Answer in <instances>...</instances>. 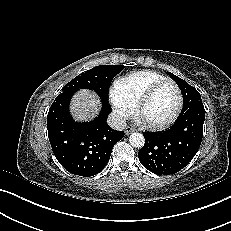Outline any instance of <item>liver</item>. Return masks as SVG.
I'll list each match as a JSON object with an SVG mask.
<instances>
[{"label": "liver", "instance_id": "6515ba94", "mask_svg": "<svg viewBox=\"0 0 231 231\" xmlns=\"http://www.w3.org/2000/svg\"><path fill=\"white\" fill-rule=\"evenodd\" d=\"M101 101L96 93L80 89L71 99L70 111L76 121H90L94 119L100 111Z\"/></svg>", "mask_w": 231, "mask_h": 231}]
</instances>
